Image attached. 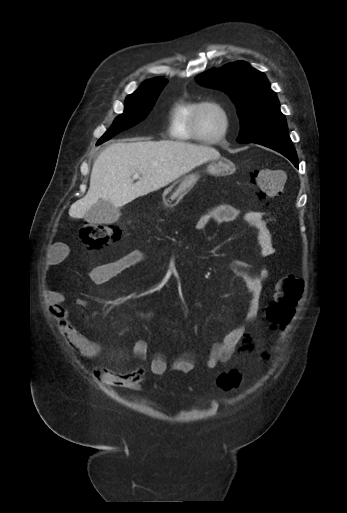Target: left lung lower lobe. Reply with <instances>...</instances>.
I'll return each mask as SVG.
<instances>
[{
  "label": "left lung lower lobe",
  "instance_id": "left-lung-lower-lobe-1",
  "mask_svg": "<svg viewBox=\"0 0 347 513\" xmlns=\"http://www.w3.org/2000/svg\"><path fill=\"white\" fill-rule=\"evenodd\" d=\"M253 143L266 146L281 153L298 168L297 154L288 135H275L254 141Z\"/></svg>",
  "mask_w": 347,
  "mask_h": 513
}]
</instances>
